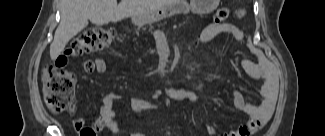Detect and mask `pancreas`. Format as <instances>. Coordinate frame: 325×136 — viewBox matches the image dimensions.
Listing matches in <instances>:
<instances>
[{"mask_svg":"<svg viewBox=\"0 0 325 136\" xmlns=\"http://www.w3.org/2000/svg\"><path fill=\"white\" fill-rule=\"evenodd\" d=\"M171 21H172L171 18L168 17L166 19H161L160 20V23L161 24H167V23L169 24V23H171ZM150 25H152V24H150ZM155 26H159V23H155ZM142 31L143 32L145 31L146 33H149L150 32V29L149 28H146L145 30L143 29Z\"/></svg>","mask_w":325,"mask_h":136,"instance_id":"1","label":"pancreas"}]
</instances>
